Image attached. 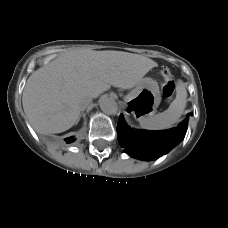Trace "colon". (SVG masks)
Segmentation results:
<instances>
[{
    "mask_svg": "<svg viewBox=\"0 0 228 228\" xmlns=\"http://www.w3.org/2000/svg\"><path fill=\"white\" fill-rule=\"evenodd\" d=\"M161 75L164 80V86H163L164 95H165V97L170 98L173 96V94L175 92V82L173 79V75H172L171 71L169 70V68H167V67H163L161 69Z\"/></svg>",
    "mask_w": 228,
    "mask_h": 228,
    "instance_id": "5ec220e1",
    "label": "colon"
}]
</instances>
